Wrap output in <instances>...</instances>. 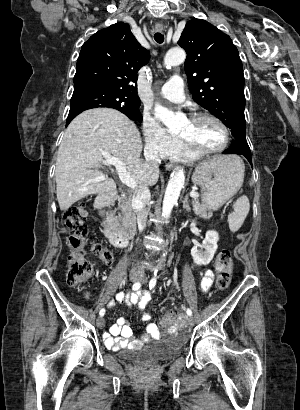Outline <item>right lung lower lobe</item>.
<instances>
[{"label":"right lung lower lobe","instance_id":"98d812e1","mask_svg":"<svg viewBox=\"0 0 300 410\" xmlns=\"http://www.w3.org/2000/svg\"><path fill=\"white\" fill-rule=\"evenodd\" d=\"M72 119H73V118L67 119V123H66V124L68 125Z\"/></svg>","mask_w":300,"mask_h":410}]
</instances>
